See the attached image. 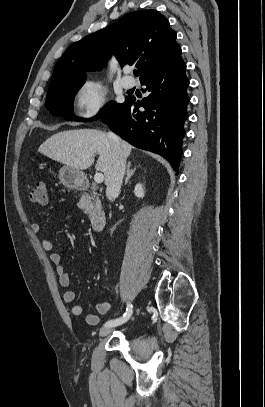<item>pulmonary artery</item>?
I'll list each match as a JSON object with an SVG mask.
<instances>
[{
    "instance_id": "pulmonary-artery-1",
    "label": "pulmonary artery",
    "mask_w": 265,
    "mask_h": 407,
    "mask_svg": "<svg viewBox=\"0 0 265 407\" xmlns=\"http://www.w3.org/2000/svg\"><path fill=\"white\" fill-rule=\"evenodd\" d=\"M130 71L126 70L121 78V84L125 89H131L135 86V81L129 76Z\"/></svg>"
}]
</instances>
